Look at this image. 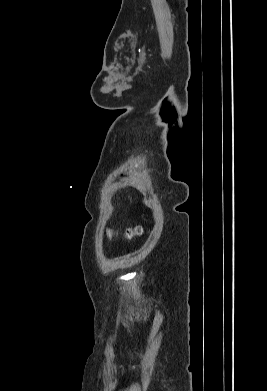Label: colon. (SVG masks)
Returning <instances> with one entry per match:
<instances>
[{
	"label": "colon",
	"mask_w": 267,
	"mask_h": 391,
	"mask_svg": "<svg viewBox=\"0 0 267 391\" xmlns=\"http://www.w3.org/2000/svg\"><path fill=\"white\" fill-rule=\"evenodd\" d=\"M140 233H141V228L140 227H135V228L127 230L126 233H125V237L127 239H131L134 236L139 235Z\"/></svg>",
	"instance_id": "1"
}]
</instances>
